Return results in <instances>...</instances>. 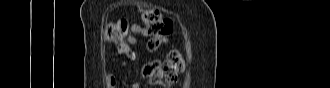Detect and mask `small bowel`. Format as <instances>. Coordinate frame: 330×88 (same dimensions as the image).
Here are the masks:
<instances>
[{
	"label": "small bowel",
	"mask_w": 330,
	"mask_h": 88,
	"mask_svg": "<svg viewBox=\"0 0 330 88\" xmlns=\"http://www.w3.org/2000/svg\"><path fill=\"white\" fill-rule=\"evenodd\" d=\"M130 35L126 39V44L123 48H119V52L123 57L128 60L135 61L137 59L136 52L130 47L132 45L137 44L138 38L137 36L147 37L148 33L145 28L139 24H131L129 25ZM107 83L110 88H118L120 85L130 88H138L139 85L137 83H121L118 84L115 76L113 74H108Z\"/></svg>",
	"instance_id": "obj_1"
}]
</instances>
